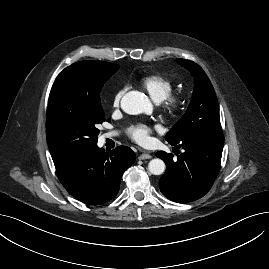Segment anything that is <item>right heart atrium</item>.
<instances>
[{
  "instance_id": "obj_1",
  "label": "right heart atrium",
  "mask_w": 269,
  "mask_h": 269,
  "mask_svg": "<svg viewBox=\"0 0 269 269\" xmlns=\"http://www.w3.org/2000/svg\"><path fill=\"white\" fill-rule=\"evenodd\" d=\"M126 90H127V87H121L113 94L111 98V107L113 108L119 107L121 99L123 95L125 94Z\"/></svg>"
}]
</instances>
